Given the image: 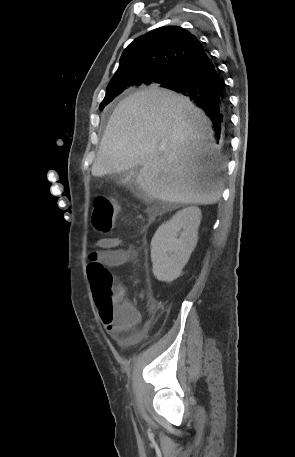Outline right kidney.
Wrapping results in <instances>:
<instances>
[{
    "label": "right kidney",
    "instance_id": "obj_1",
    "mask_svg": "<svg viewBox=\"0 0 295 457\" xmlns=\"http://www.w3.org/2000/svg\"><path fill=\"white\" fill-rule=\"evenodd\" d=\"M201 210L191 206L163 223L151 241L154 276L165 282L178 278L197 244Z\"/></svg>",
    "mask_w": 295,
    "mask_h": 457
}]
</instances>
